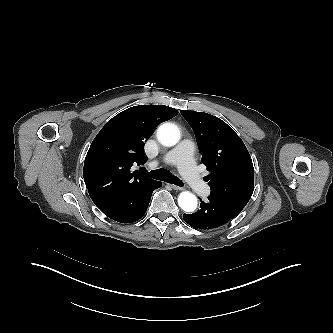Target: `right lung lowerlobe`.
<instances>
[{"label": "right lung lower lobe", "mask_w": 333, "mask_h": 333, "mask_svg": "<svg viewBox=\"0 0 333 333\" xmlns=\"http://www.w3.org/2000/svg\"><path fill=\"white\" fill-rule=\"evenodd\" d=\"M161 186L162 184L159 181L153 180L146 186L127 195L124 200L100 210L115 221L121 223L135 222L145 214L152 192Z\"/></svg>", "instance_id": "1"}]
</instances>
